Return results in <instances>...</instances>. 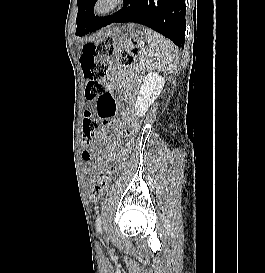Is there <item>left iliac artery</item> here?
Masks as SVG:
<instances>
[{
	"instance_id": "1",
	"label": "left iliac artery",
	"mask_w": 265,
	"mask_h": 273,
	"mask_svg": "<svg viewBox=\"0 0 265 273\" xmlns=\"http://www.w3.org/2000/svg\"><path fill=\"white\" fill-rule=\"evenodd\" d=\"M101 224H102L101 216L98 215L97 219H96V230H97V232L99 234L102 235V226H101Z\"/></svg>"
}]
</instances>
